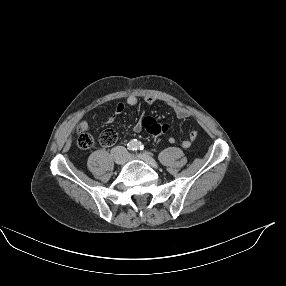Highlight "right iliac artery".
Segmentation results:
<instances>
[{"label": "right iliac artery", "instance_id": "obj_1", "mask_svg": "<svg viewBox=\"0 0 286 286\" xmlns=\"http://www.w3.org/2000/svg\"><path fill=\"white\" fill-rule=\"evenodd\" d=\"M128 149L129 150H134L135 149V146H134V144L132 142L130 144H128Z\"/></svg>", "mask_w": 286, "mask_h": 286}]
</instances>
